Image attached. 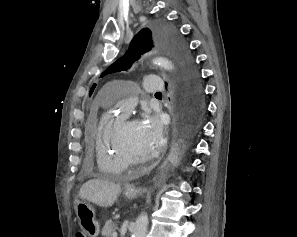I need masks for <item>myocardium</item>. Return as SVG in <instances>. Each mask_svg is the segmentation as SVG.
Returning a JSON list of instances; mask_svg holds the SVG:
<instances>
[{
    "instance_id": "obj_1",
    "label": "myocardium",
    "mask_w": 297,
    "mask_h": 237,
    "mask_svg": "<svg viewBox=\"0 0 297 237\" xmlns=\"http://www.w3.org/2000/svg\"><path fill=\"white\" fill-rule=\"evenodd\" d=\"M133 122H136L133 118L124 117L122 121L117 125L115 130V136H114L115 146L118 152L121 154V156L128 164V166L145 164L151 161L152 159H154L156 156L155 151H152L151 153L144 156H137L129 150L126 142L124 141V130L130 123H133Z\"/></svg>"
}]
</instances>
